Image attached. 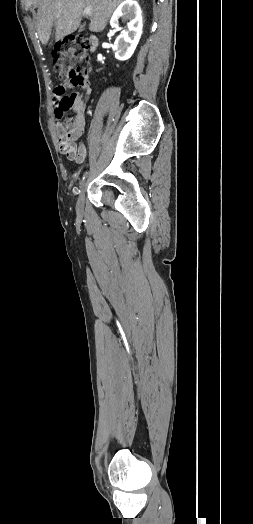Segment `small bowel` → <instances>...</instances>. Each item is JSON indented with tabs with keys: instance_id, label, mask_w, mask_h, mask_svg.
Returning <instances> with one entry per match:
<instances>
[{
	"instance_id": "c3829d8e",
	"label": "small bowel",
	"mask_w": 253,
	"mask_h": 524,
	"mask_svg": "<svg viewBox=\"0 0 253 524\" xmlns=\"http://www.w3.org/2000/svg\"><path fill=\"white\" fill-rule=\"evenodd\" d=\"M62 85H58L54 90V103L60 99ZM90 96H84L82 93L74 94V126L67 130L63 125H56V133L59 143L60 152L76 164H81L86 158L87 148L84 144L77 145L76 140L80 138L86 126V109Z\"/></svg>"
}]
</instances>
